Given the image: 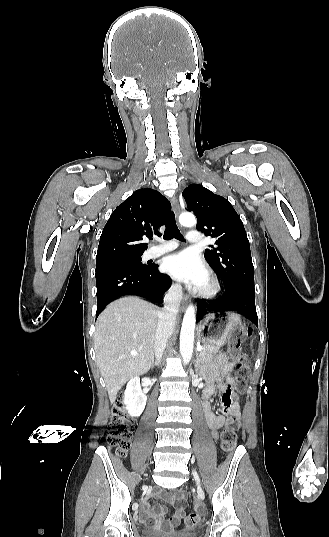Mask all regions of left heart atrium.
Wrapping results in <instances>:
<instances>
[{"instance_id": "obj_1", "label": "left heart atrium", "mask_w": 329, "mask_h": 537, "mask_svg": "<svg viewBox=\"0 0 329 537\" xmlns=\"http://www.w3.org/2000/svg\"><path fill=\"white\" fill-rule=\"evenodd\" d=\"M164 270L178 281L201 287L207 277L206 268L200 257L189 250L167 256Z\"/></svg>"}]
</instances>
